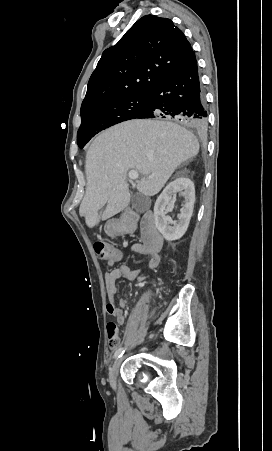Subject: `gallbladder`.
I'll return each instance as SVG.
<instances>
[{
	"mask_svg": "<svg viewBox=\"0 0 272 451\" xmlns=\"http://www.w3.org/2000/svg\"><path fill=\"white\" fill-rule=\"evenodd\" d=\"M141 194H135L134 198L131 200L132 208L136 210V212H140V214H143V212H146L148 210L147 204L145 202H142V200H138L140 198Z\"/></svg>",
	"mask_w": 272,
	"mask_h": 451,
	"instance_id": "gallbladder-1",
	"label": "gallbladder"
}]
</instances>
